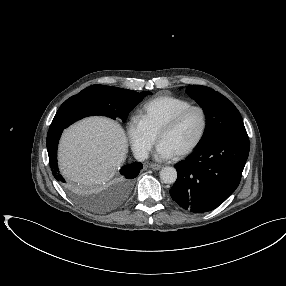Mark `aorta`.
Segmentation results:
<instances>
[{
	"label": "aorta",
	"mask_w": 286,
	"mask_h": 286,
	"mask_svg": "<svg viewBox=\"0 0 286 286\" xmlns=\"http://www.w3.org/2000/svg\"><path fill=\"white\" fill-rule=\"evenodd\" d=\"M160 178L164 183L172 184L177 179V171L174 167H164L160 171Z\"/></svg>",
	"instance_id": "762f6f07"
}]
</instances>
